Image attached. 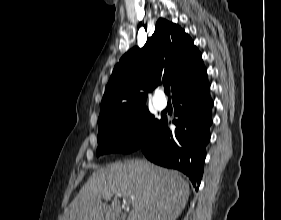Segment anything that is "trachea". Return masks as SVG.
Here are the masks:
<instances>
[{"instance_id":"1","label":"trachea","mask_w":281,"mask_h":220,"mask_svg":"<svg viewBox=\"0 0 281 220\" xmlns=\"http://www.w3.org/2000/svg\"><path fill=\"white\" fill-rule=\"evenodd\" d=\"M164 91L168 96H170V87L169 86H166Z\"/></svg>"}]
</instances>
